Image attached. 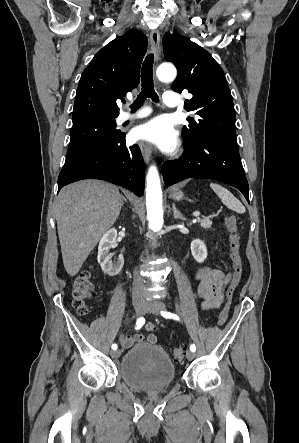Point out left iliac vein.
Masks as SVG:
<instances>
[{
  "label": "left iliac vein",
  "instance_id": "1",
  "mask_svg": "<svg viewBox=\"0 0 299 443\" xmlns=\"http://www.w3.org/2000/svg\"><path fill=\"white\" fill-rule=\"evenodd\" d=\"M165 309V305L162 302H148L146 304L145 313H153V314H159L161 310ZM186 357L189 361L193 360L195 357V354L193 351L188 350L186 352Z\"/></svg>",
  "mask_w": 299,
  "mask_h": 443
}]
</instances>
